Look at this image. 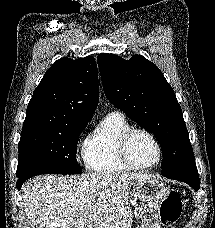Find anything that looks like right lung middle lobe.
I'll return each instance as SVG.
<instances>
[{"label":"right lung middle lobe","mask_w":215,"mask_h":228,"mask_svg":"<svg viewBox=\"0 0 215 228\" xmlns=\"http://www.w3.org/2000/svg\"><path fill=\"white\" fill-rule=\"evenodd\" d=\"M87 124L77 122L22 130L16 176L82 173L76 148Z\"/></svg>","instance_id":"1"}]
</instances>
